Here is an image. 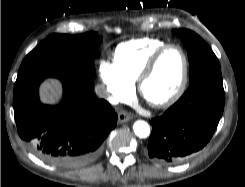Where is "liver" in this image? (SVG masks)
<instances>
[{
  "label": "liver",
  "mask_w": 245,
  "mask_h": 187,
  "mask_svg": "<svg viewBox=\"0 0 245 187\" xmlns=\"http://www.w3.org/2000/svg\"><path fill=\"white\" fill-rule=\"evenodd\" d=\"M61 96V88L57 82L45 83L41 87V98L44 103L54 104Z\"/></svg>",
  "instance_id": "1"
}]
</instances>
